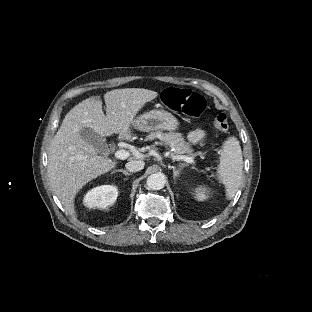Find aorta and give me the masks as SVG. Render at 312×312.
<instances>
[{
	"instance_id": "762f6f07",
	"label": "aorta",
	"mask_w": 312,
	"mask_h": 312,
	"mask_svg": "<svg viewBox=\"0 0 312 312\" xmlns=\"http://www.w3.org/2000/svg\"><path fill=\"white\" fill-rule=\"evenodd\" d=\"M166 182L165 175L162 173L151 174L147 178V186L152 190H160L164 188Z\"/></svg>"
}]
</instances>
